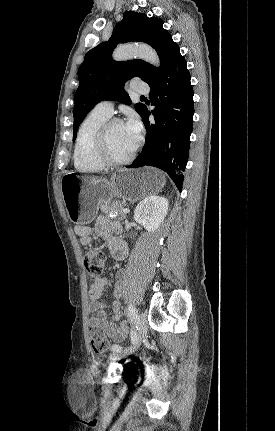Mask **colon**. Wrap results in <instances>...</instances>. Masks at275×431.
I'll return each mask as SVG.
<instances>
[{
    "mask_svg": "<svg viewBox=\"0 0 275 431\" xmlns=\"http://www.w3.org/2000/svg\"><path fill=\"white\" fill-rule=\"evenodd\" d=\"M105 263V255L100 250H90L84 255V265L87 274L94 281H97L101 278ZM89 335L92 350L96 354H103L109 346L108 339L103 330L97 326H92L90 328Z\"/></svg>",
    "mask_w": 275,
    "mask_h": 431,
    "instance_id": "1",
    "label": "colon"
}]
</instances>
